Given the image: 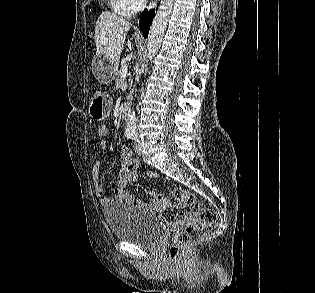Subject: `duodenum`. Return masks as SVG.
<instances>
[{
	"mask_svg": "<svg viewBox=\"0 0 315 293\" xmlns=\"http://www.w3.org/2000/svg\"><path fill=\"white\" fill-rule=\"evenodd\" d=\"M130 109H131V103L126 100L121 107V115L124 119H127L130 114Z\"/></svg>",
	"mask_w": 315,
	"mask_h": 293,
	"instance_id": "obj_1",
	"label": "duodenum"
}]
</instances>
